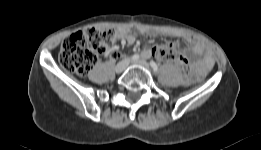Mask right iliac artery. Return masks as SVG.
I'll return each instance as SVG.
<instances>
[{
    "label": "right iliac artery",
    "mask_w": 261,
    "mask_h": 150,
    "mask_svg": "<svg viewBox=\"0 0 261 150\" xmlns=\"http://www.w3.org/2000/svg\"><path fill=\"white\" fill-rule=\"evenodd\" d=\"M139 58H140V56H139L138 54H134V55L131 57V60L137 61Z\"/></svg>",
    "instance_id": "1"
}]
</instances>
